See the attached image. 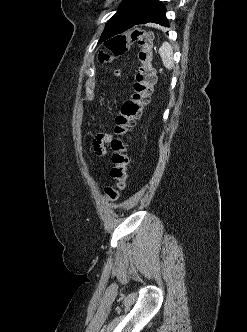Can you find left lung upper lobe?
Returning a JSON list of instances; mask_svg holds the SVG:
<instances>
[{
    "label": "left lung upper lobe",
    "mask_w": 247,
    "mask_h": 332,
    "mask_svg": "<svg viewBox=\"0 0 247 332\" xmlns=\"http://www.w3.org/2000/svg\"><path fill=\"white\" fill-rule=\"evenodd\" d=\"M147 1L148 0H123L119 6V10L106 23L105 29L98 43L104 42L119 34L123 25L133 18L137 11Z\"/></svg>",
    "instance_id": "5c2ea615"
}]
</instances>
